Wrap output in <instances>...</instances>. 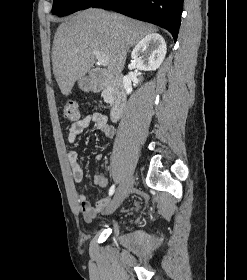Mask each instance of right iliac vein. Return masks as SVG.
Here are the masks:
<instances>
[{"instance_id": "63e3f726", "label": "right iliac vein", "mask_w": 247, "mask_h": 280, "mask_svg": "<svg viewBox=\"0 0 247 280\" xmlns=\"http://www.w3.org/2000/svg\"><path fill=\"white\" fill-rule=\"evenodd\" d=\"M132 183H133L132 178H128L119 185V187L117 188L116 193L107 209L108 213L113 212L123 202V200L128 196V194L132 188Z\"/></svg>"}]
</instances>
